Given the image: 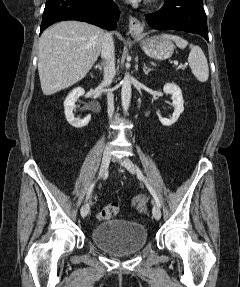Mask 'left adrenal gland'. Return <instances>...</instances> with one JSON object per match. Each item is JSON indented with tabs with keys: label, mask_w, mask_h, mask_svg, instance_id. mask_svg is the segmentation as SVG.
Instances as JSON below:
<instances>
[{
	"label": "left adrenal gland",
	"mask_w": 240,
	"mask_h": 287,
	"mask_svg": "<svg viewBox=\"0 0 240 287\" xmlns=\"http://www.w3.org/2000/svg\"><path fill=\"white\" fill-rule=\"evenodd\" d=\"M151 70H152V69L146 67V64L144 63V65H143V71L145 72V74L147 75Z\"/></svg>",
	"instance_id": "1"
}]
</instances>
